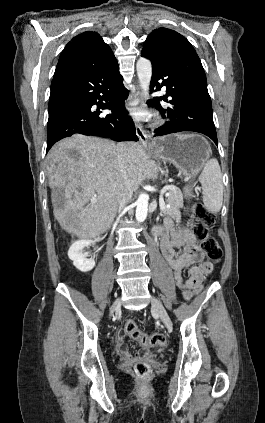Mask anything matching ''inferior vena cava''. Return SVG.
Listing matches in <instances>:
<instances>
[{
	"instance_id": "inferior-vena-cava-1",
	"label": "inferior vena cava",
	"mask_w": 265,
	"mask_h": 423,
	"mask_svg": "<svg viewBox=\"0 0 265 423\" xmlns=\"http://www.w3.org/2000/svg\"><path fill=\"white\" fill-rule=\"evenodd\" d=\"M123 150L124 149L122 145L117 146L118 164L120 172V183L117 189V203L119 209L123 208L126 204H128L131 201L133 195L131 182L127 173L126 161L122 156Z\"/></svg>"
}]
</instances>
